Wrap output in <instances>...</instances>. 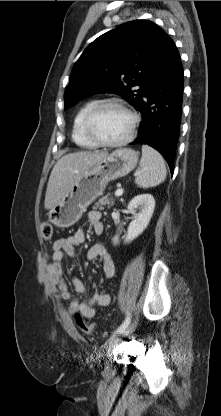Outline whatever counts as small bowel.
<instances>
[{
	"label": "small bowel",
	"instance_id": "c3829d8e",
	"mask_svg": "<svg viewBox=\"0 0 221 416\" xmlns=\"http://www.w3.org/2000/svg\"><path fill=\"white\" fill-rule=\"evenodd\" d=\"M89 223L95 234H101L104 230L101 221V213L96 210L89 211L87 214ZM85 241V232L82 229L77 230L74 234L66 238H59L52 246L51 261L47 265L46 273L49 283L56 293L57 297L63 301H70L68 312L70 315L79 313L85 318L91 319L95 316L96 306L106 307L110 303V295L103 292H97L89 295L82 280L76 276L71 278V283L75 291L80 295V299H74L68 289L64 279L62 261L64 254L75 256V247L83 244ZM89 260H99L102 265L103 274L106 278H112L115 275V264L107 250L101 244L93 245L87 254Z\"/></svg>",
	"mask_w": 221,
	"mask_h": 416
}]
</instances>
